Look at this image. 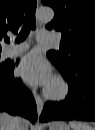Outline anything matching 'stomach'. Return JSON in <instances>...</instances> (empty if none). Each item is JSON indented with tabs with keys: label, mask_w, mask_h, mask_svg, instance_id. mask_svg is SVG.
Instances as JSON below:
<instances>
[{
	"label": "stomach",
	"mask_w": 95,
	"mask_h": 130,
	"mask_svg": "<svg viewBox=\"0 0 95 130\" xmlns=\"http://www.w3.org/2000/svg\"><path fill=\"white\" fill-rule=\"evenodd\" d=\"M49 130H70L65 122L55 121L50 124Z\"/></svg>",
	"instance_id": "obj_1"
}]
</instances>
